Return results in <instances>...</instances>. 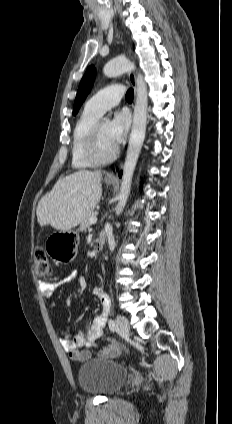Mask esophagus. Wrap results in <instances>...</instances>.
Returning <instances> with one entry per match:
<instances>
[{
    "label": "esophagus",
    "mask_w": 232,
    "mask_h": 424,
    "mask_svg": "<svg viewBox=\"0 0 232 424\" xmlns=\"http://www.w3.org/2000/svg\"><path fill=\"white\" fill-rule=\"evenodd\" d=\"M128 77H129V80H130L132 86L134 87V90H135V93H136V76H135V73L133 71L129 72ZM106 178L115 179L113 174H107Z\"/></svg>",
    "instance_id": "obj_1"
}]
</instances>
